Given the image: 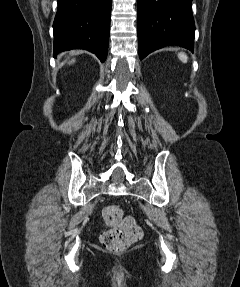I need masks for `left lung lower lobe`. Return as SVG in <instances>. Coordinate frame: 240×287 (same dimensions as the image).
I'll return each mask as SVG.
<instances>
[{
	"mask_svg": "<svg viewBox=\"0 0 240 287\" xmlns=\"http://www.w3.org/2000/svg\"><path fill=\"white\" fill-rule=\"evenodd\" d=\"M192 0H137L139 58L168 45L194 51Z\"/></svg>",
	"mask_w": 240,
	"mask_h": 287,
	"instance_id": "0a47b994",
	"label": "left lung lower lobe"
}]
</instances>
